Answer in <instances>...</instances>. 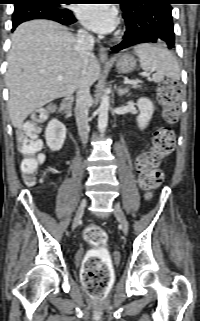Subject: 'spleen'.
Returning <instances> with one entry per match:
<instances>
[{
    "instance_id": "spleen-1",
    "label": "spleen",
    "mask_w": 200,
    "mask_h": 321,
    "mask_svg": "<svg viewBox=\"0 0 200 321\" xmlns=\"http://www.w3.org/2000/svg\"><path fill=\"white\" fill-rule=\"evenodd\" d=\"M139 57L140 67L145 72L156 71V80L164 76L175 81L180 80V67L174 55L163 45L142 43L134 47Z\"/></svg>"
}]
</instances>
